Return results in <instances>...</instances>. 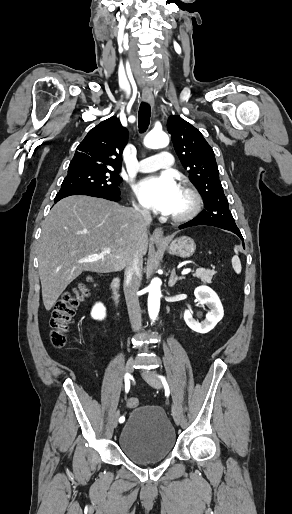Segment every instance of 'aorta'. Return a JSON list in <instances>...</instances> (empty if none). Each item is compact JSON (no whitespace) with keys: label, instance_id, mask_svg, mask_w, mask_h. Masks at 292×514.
Listing matches in <instances>:
<instances>
[{"label":"aorta","instance_id":"1","mask_svg":"<svg viewBox=\"0 0 292 514\" xmlns=\"http://www.w3.org/2000/svg\"><path fill=\"white\" fill-rule=\"evenodd\" d=\"M144 144L146 148H152V150H158V148H166L169 144V138L165 132H157V130H151L147 134ZM161 280L154 278L149 286L148 296V312L151 320H156L158 312L160 310V298H161Z\"/></svg>","mask_w":292,"mask_h":514}]
</instances>
